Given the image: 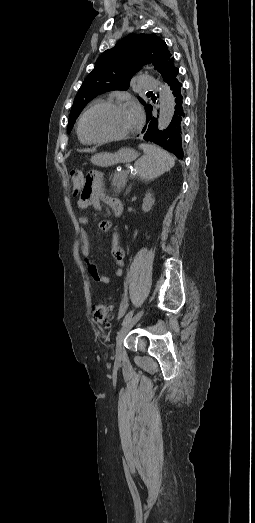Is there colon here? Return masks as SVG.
<instances>
[{
	"mask_svg": "<svg viewBox=\"0 0 255 523\" xmlns=\"http://www.w3.org/2000/svg\"><path fill=\"white\" fill-rule=\"evenodd\" d=\"M70 180L74 196H85L89 193L91 184L90 179L86 178L84 173L80 170H73L70 173ZM93 318L99 325L109 326L112 321V307L111 305L98 302L93 305Z\"/></svg>",
	"mask_w": 255,
	"mask_h": 523,
	"instance_id": "colon-1",
	"label": "colon"
}]
</instances>
